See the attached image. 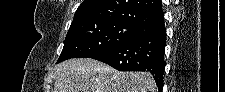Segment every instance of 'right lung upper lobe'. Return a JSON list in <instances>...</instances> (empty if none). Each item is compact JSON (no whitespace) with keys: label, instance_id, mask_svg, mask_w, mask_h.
Listing matches in <instances>:
<instances>
[{"label":"right lung upper lobe","instance_id":"1","mask_svg":"<svg viewBox=\"0 0 225 92\" xmlns=\"http://www.w3.org/2000/svg\"><path fill=\"white\" fill-rule=\"evenodd\" d=\"M120 22L142 32L164 25L160 0H84L70 26Z\"/></svg>","mask_w":225,"mask_h":92}]
</instances>
